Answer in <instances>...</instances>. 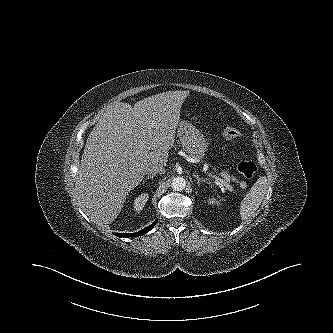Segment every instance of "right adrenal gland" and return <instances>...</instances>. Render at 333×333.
I'll list each match as a JSON object with an SVG mask.
<instances>
[{
  "label": "right adrenal gland",
  "mask_w": 333,
  "mask_h": 333,
  "mask_svg": "<svg viewBox=\"0 0 333 333\" xmlns=\"http://www.w3.org/2000/svg\"><path fill=\"white\" fill-rule=\"evenodd\" d=\"M154 178V175H148L143 181H142V184L144 185L145 182L148 180V179H153Z\"/></svg>",
  "instance_id": "obj_1"
}]
</instances>
